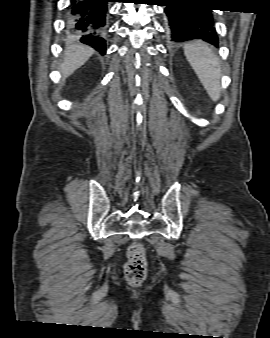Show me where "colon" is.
<instances>
[{
	"label": "colon",
	"mask_w": 270,
	"mask_h": 338,
	"mask_svg": "<svg viewBox=\"0 0 270 338\" xmlns=\"http://www.w3.org/2000/svg\"><path fill=\"white\" fill-rule=\"evenodd\" d=\"M146 252L141 243H132L126 252L124 273L131 286H139L146 275Z\"/></svg>",
	"instance_id": "1"
}]
</instances>
